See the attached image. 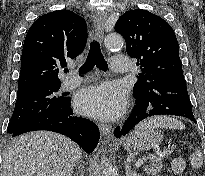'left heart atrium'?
<instances>
[{"label":"left heart atrium","instance_id":"left-heart-atrium-1","mask_svg":"<svg viewBox=\"0 0 205 176\" xmlns=\"http://www.w3.org/2000/svg\"><path fill=\"white\" fill-rule=\"evenodd\" d=\"M75 106L86 115L113 119L124 110L126 96L119 86L103 83L80 91L75 99Z\"/></svg>","mask_w":205,"mask_h":176}]
</instances>
